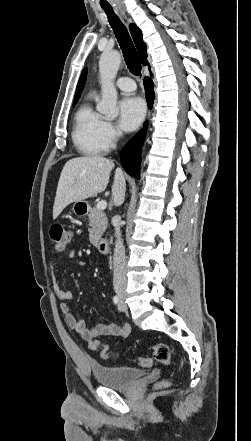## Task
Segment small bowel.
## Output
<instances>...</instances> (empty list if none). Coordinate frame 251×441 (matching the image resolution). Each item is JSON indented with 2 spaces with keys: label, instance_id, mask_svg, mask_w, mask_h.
<instances>
[{
  "label": "small bowel",
  "instance_id": "c3829d8e",
  "mask_svg": "<svg viewBox=\"0 0 251 441\" xmlns=\"http://www.w3.org/2000/svg\"><path fill=\"white\" fill-rule=\"evenodd\" d=\"M80 266H85L84 260H79ZM56 263H52V269H54ZM53 291L56 297L62 302L60 305L61 313L69 328L74 330L82 339L92 342L99 336H117L127 337L130 333V327L126 324L117 325L114 323H100L93 327H88L85 319H77L68 302L72 299L73 293L70 290L62 288L57 282L53 284Z\"/></svg>",
  "mask_w": 251,
  "mask_h": 441
}]
</instances>
